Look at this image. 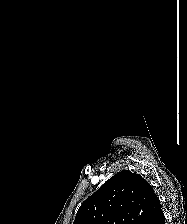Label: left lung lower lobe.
<instances>
[{
  "label": "left lung lower lobe",
  "mask_w": 187,
  "mask_h": 224,
  "mask_svg": "<svg viewBox=\"0 0 187 224\" xmlns=\"http://www.w3.org/2000/svg\"><path fill=\"white\" fill-rule=\"evenodd\" d=\"M151 224H165V217H164V213L162 210L155 217V219L151 222Z\"/></svg>",
  "instance_id": "left-lung-lower-lobe-1"
}]
</instances>
